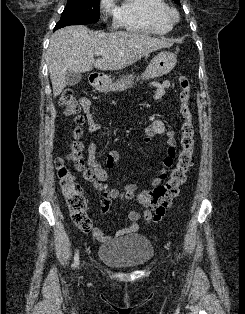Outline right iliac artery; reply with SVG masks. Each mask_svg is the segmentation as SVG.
<instances>
[{"label": "right iliac artery", "instance_id": "1", "mask_svg": "<svg viewBox=\"0 0 245 314\" xmlns=\"http://www.w3.org/2000/svg\"><path fill=\"white\" fill-rule=\"evenodd\" d=\"M78 265H79V253L77 251L76 254H75V257H74V264H73V266L77 267Z\"/></svg>", "mask_w": 245, "mask_h": 314}]
</instances>
